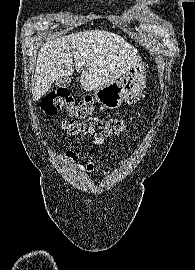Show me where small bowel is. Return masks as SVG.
Listing matches in <instances>:
<instances>
[{
  "mask_svg": "<svg viewBox=\"0 0 195 270\" xmlns=\"http://www.w3.org/2000/svg\"><path fill=\"white\" fill-rule=\"evenodd\" d=\"M93 142L95 144H104L105 140L102 139V138H96V139L93 140ZM65 155L69 160H71L73 162L78 160L79 157H80L79 153L73 152V151H66ZM81 169L85 170L87 172H92V171L97 169V166L93 162L90 161L86 165L81 166Z\"/></svg>",
  "mask_w": 195,
  "mask_h": 270,
  "instance_id": "c3829d8e",
  "label": "small bowel"
}]
</instances>
